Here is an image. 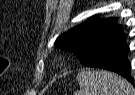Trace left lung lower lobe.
Returning a JSON list of instances; mask_svg holds the SVG:
<instances>
[{
    "mask_svg": "<svg viewBox=\"0 0 135 95\" xmlns=\"http://www.w3.org/2000/svg\"><path fill=\"white\" fill-rule=\"evenodd\" d=\"M129 47L123 30L105 37L93 51L85 66L116 72L134 84L131 64L127 59Z\"/></svg>",
    "mask_w": 135,
    "mask_h": 95,
    "instance_id": "0a47b994",
    "label": "left lung lower lobe"
}]
</instances>
